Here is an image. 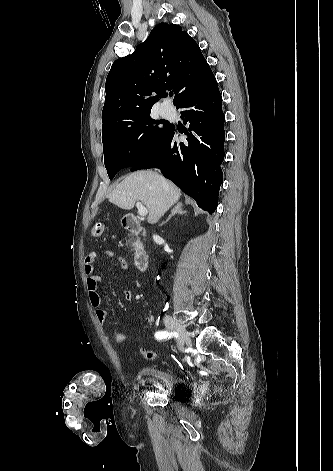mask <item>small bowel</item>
Masks as SVG:
<instances>
[{"label": "small bowel", "instance_id": "c3829d8e", "mask_svg": "<svg viewBox=\"0 0 333 471\" xmlns=\"http://www.w3.org/2000/svg\"><path fill=\"white\" fill-rule=\"evenodd\" d=\"M99 258H107L113 262H115L121 269L124 271L128 270V264L126 260L116 253L113 250H99V251H90L84 260V270L86 274L87 280V290L89 296V302L91 306L95 309V316L98 322L101 325H106L108 320L107 311L101 308V296L99 293V283L101 281V276L95 272V262ZM132 291L127 288L124 291V298L127 302L132 300ZM146 323L150 324L152 322L151 317L145 318Z\"/></svg>", "mask_w": 333, "mask_h": 471}]
</instances>
